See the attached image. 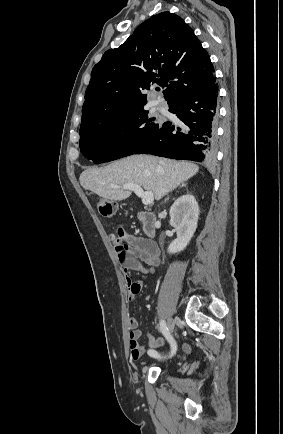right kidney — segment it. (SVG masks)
<instances>
[{
	"mask_svg": "<svg viewBox=\"0 0 283 434\" xmlns=\"http://www.w3.org/2000/svg\"><path fill=\"white\" fill-rule=\"evenodd\" d=\"M199 206L193 195L178 198L170 208V224L176 229L177 238L171 242L168 252H180L186 248L197 228Z\"/></svg>",
	"mask_w": 283,
	"mask_h": 434,
	"instance_id": "obj_1",
	"label": "right kidney"
}]
</instances>
